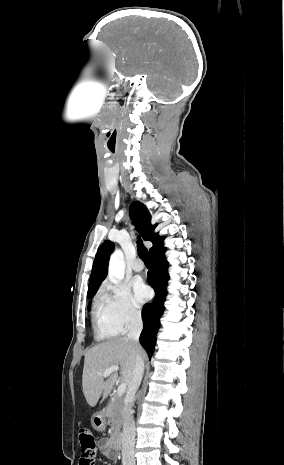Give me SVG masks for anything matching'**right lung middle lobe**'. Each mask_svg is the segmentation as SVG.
Here are the masks:
<instances>
[{"label": "right lung middle lobe", "instance_id": "right-lung-middle-lobe-1", "mask_svg": "<svg viewBox=\"0 0 284 465\" xmlns=\"http://www.w3.org/2000/svg\"><path fill=\"white\" fill-rule=\"evenodd\" d=\"M93 296H94V295H89V296H87V297H88V298H92Z\"/></svg>", "mask_w": 284, "mask_h": 465}]
</instances>
